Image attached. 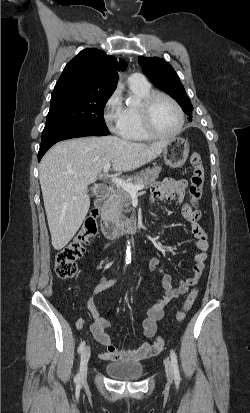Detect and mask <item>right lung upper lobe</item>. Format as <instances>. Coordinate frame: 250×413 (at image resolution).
I'll use <instances>...</instances> for the list:
<instances>
[{"label": "right lung upper lobe", "mask_w": 250, "mask_h": 413, "mask_svg": "<svg viewBox=\"0 0 250 413\" xmlns=\"http://www.w3.org/2000/svg\"><path fill=\"white\" fill-rule=\"evenodd\" d=\"M127 63L99 49H84L65 66L55 88L68 85L84 89L113 92L118 70H125ZM54 88V89H55Z\"/></svg>", "instance_id": "obj_1"}]
</instances>
